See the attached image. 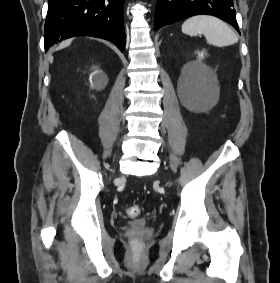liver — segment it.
<instances>
[{
    "label": "liver",
    "instance_id": "obj_1",
    "mask_svg": "<svg viewBox=\"0 0 280 283\" xmlns=\"http://www.w3.org/2000/svg\"><path fill=\"white\" fill-rule=\"evenodd\" d=\"M71 41H72V40H68V41L63 42V43L60 45L59 48L61 49V48L67 47L68 45H70Z\"/></svg>",
    "mask_w": 280,
    "mask_h": 283
}]
</instances>
